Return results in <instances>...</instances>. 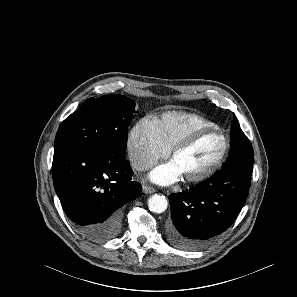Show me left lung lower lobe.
<instances>
[{
  "label": "left lung lower lobe",
  "mask_w": 297,
  "mask_h": 297,
  "mask_svg": "<svg viewBox=\"0 0 297 297\" xmlns=\"http://www.w3.org/2000/svg\"><path fill=\"white\" fill-rule=\"evenodd\" d=\"M253 167L222 168L209 179L170 195V244L198 250L227 230L240 213L251 185Z\"/></svg>",
  "instance_id": "obj_1"
}]
</instances>
